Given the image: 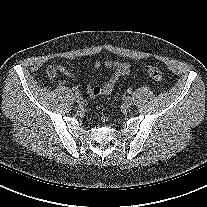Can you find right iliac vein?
I'll return each mask as SVG.
<instances>
[{
    "label": "right iliac vein",
    "instance_id": "right-iliac-vein-1",
    "mask_svg": "<svg viewBox=\"0 0 207 207\" xmlns=\"http://www.w3.org/2000/svg\"><path fill=\"white\" fill-rule=\"evenodd\" d=\"M74 99L77 103H81L83 100L82 96L79 93L74 95Z\"/></svg>",
    "mask_w": 207,
    "mask_h": 207
}]
</instances>
